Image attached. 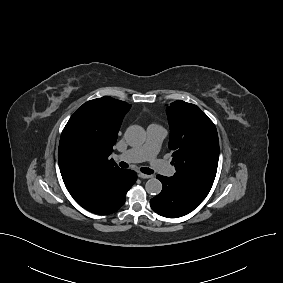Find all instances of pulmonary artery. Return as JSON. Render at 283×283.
<instances>
[{"label": "pulmonary artery", "mask_w": 283, "mask_h": 283, "mask_svg": "<svg viewBox=\"0 0 283 283\" xmlns=\"http://www.w3.org/2000/svg\"><path fill=\"white\" fill-rule=\"evenodd\" d=\"M166 130L156 124L147 128L146 143L138 148H132L118 155V158L128 162L149 161L153 169L165 176H172L175 169L166 164L163 160L157 158L162 141L166 137Z\"/></svg>", "instance_id": "1"}]
</instances>
